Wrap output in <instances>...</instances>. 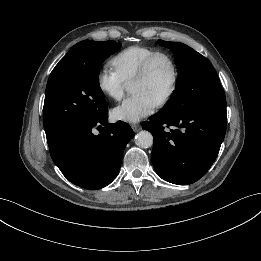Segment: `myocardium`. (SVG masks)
<instances>
[{"mask_svg":"<svg viewBox=\"0 0 261 261\" xmlns=\"http://www.w3.org/2000/svg\"><path fill=\"white\" fill-rule=\"evenodd\" d=\"M160 57H164L168 60L170 66H171V70H172V79H171L170 87H169L167 93L157 103V106L162 107V106L168 104L170 102V100L172 99V97L174 96L176 89H177L178 80H179L178 66H177V63H176L174 57L170 53H168L166 51H157V52L153 53L152 55H150L144 61L141 68L139 69L138 73L133 78L132 82L145 79L149 75L154 62Z\"/></svg>","mask_w":261,"mask_h":261,"instance_id":"1","label":"myocardium"}]
</instances>
